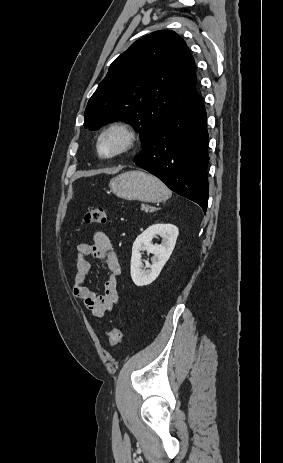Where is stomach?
Instances as JSON below:
<instances>
[{"instance_id":"obj_1","label":"stomach","mask_w":283,"mask_h":463,"mask_svg":"<svg viewBox=\"0 0 283 463\" xmlns=\"http://www.w3.org/2000/svg\"><path fill=\"white\" fill-rule=\"evenodd\" d=\"M109 186L117 197L125 200L155 203L168 197L167 187L157 177L139 170L114 177Z\"/></svg>"}]
</instances>
